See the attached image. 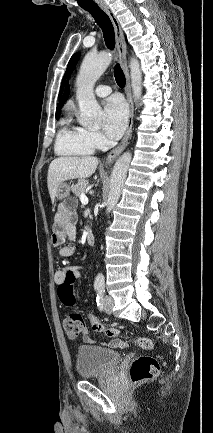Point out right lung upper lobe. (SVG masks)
Wrapping results in <instances>:
<instances>
[{
	"label": "right lung upper lobe",
	"mask_w": 213,
	"mask_h": 433,
	"mask_svg": "<svg viewBox=\"0 0 213 433\" xmlns=\"http://www.w3.org/2000/svg\"><path fill=\"white\" fill-rule=\"evenodd\" d=\"M68 96H69V85L67 84L66 89H65V93L62 96V98H61V100L57 106V109H56V118L59 117L60 109L62 108V106L64 105L66 100L68 99Z\"/></svg>",
	"instance_id": "obj_1"
}]
</instances>
